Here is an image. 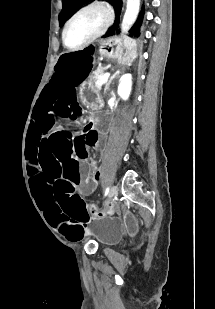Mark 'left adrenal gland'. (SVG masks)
I'll return each instance as SVG.
<instances>
[{"instance_id": "left-adrenal-gland-1", "label": "left adrenal gland", "mask_w": 215, "mask_h": 309, "mask_svg": "<svg viewBox=\"0 0 215 309\" xmlns=\"http://www.w3.org/2000/svg\"><path fill=\"white\" fill-rule=\"evenodd\" d=\"M119 72H120V70H116V72H114V74H112L109 82H112V80H114V78H117V76H119Z\"/></svg>"}]
</instances>
